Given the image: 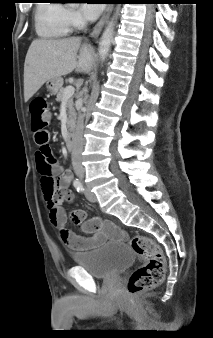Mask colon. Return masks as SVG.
Returning a JSON list of instances; mask_svg holds the SVG:
<instances>
[{
  "instance_id": "5ec220e1",
  "label": "colon",
  "mask_w": 213,
  "mask_h": 338,
  "mask_svg": "<svg viewBox=\"0 0 213 338\" xmlns=\"http://www.w3.org/2000/svg\"><path fill=\"white\" fill-rule=\"evenodd\" d=\"M32 115V130L34 139L40 150L36 155L38 173L41 176L42 189L48 215L51 223H55L57 202H56V181L53 178L54 165L57 160L53 157H43L42 146L49 140L47 127L52 122V114L43 98H35L30 103ZM103 225L92 223L91 228H100ZM128 242L133 251L139 256L141 264L130 275L127 290L130 294H136L147 288L159 285L165 274V258L161 247L154 240L144 235L129 237Z\"/></svg>"
}]
</instances>
